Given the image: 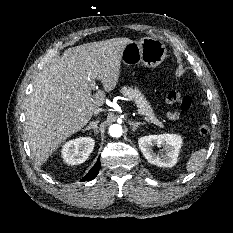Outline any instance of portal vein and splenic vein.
Segmentation results:
<instances>
[{
  "instance_id": "portal-vein-and-splenic-vein-1",
  "label": "portal vein and splenic vein",
  "mask_w": 233,
  "mask_h": 233,
  "mask_svg": "<svg viewBox=\"0 0 233 233\" xmlns=\"http://www.w3.org/2000/svg\"><path fill=\"white\" fill-rule=\"evenodd\" d=\"M90 84H91V88H92V89H95V88H96V83H95L94 80H90ZM145 120L148 121L147 118H145Z\"/></svg>"
}]
</instances>
